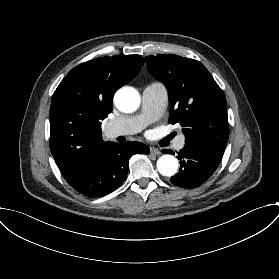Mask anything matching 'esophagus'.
<instances>
[{"instance_id":"1","label":"esophagus","mask_w":279,"mask_h":279,"mask_svg":"<svg viewBox=\"0 0 279 279\" xmlns=\"http://www.w3.org/2000/svg\"><path fill=\"white\" fill-rule=\"evenodd\" d=\"M161 152L159 151L158 148L155 147H150V154L151 155H159Z\"/></svg>"}]
</instances>
